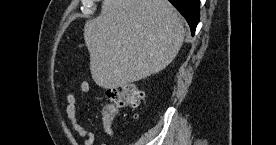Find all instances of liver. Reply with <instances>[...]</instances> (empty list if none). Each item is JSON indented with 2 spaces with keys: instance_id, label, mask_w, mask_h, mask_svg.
<instances>
[{
  "instance_id": "liver-1",
  "label": "liver",
  "mask_w": 276,
  "mask_h": 145,
  "mask_svg": "<svg viewBox=\"0 0 276 145\" xmlns=\"http://www.w3.org/2000/svg\"><path fill=\"white\" fill-rule=\"evenodd\" d=\"M93 81L117 89L165 69L184 40L183 20L168 0H104L84 26Z\"/></svg>"
}]
</instances>
